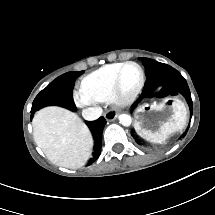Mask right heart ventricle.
<instances>
[{"instance_id":"right-heart-ventricle-1","label":"right heart ventricle","mask_w":215,"mask_h":215,"mask_svg":"<svg viewBox=\"0 0 215 215\" xmlns=\"http://www.w3.org/2000/svg\"><path fill=\"white\" fill-rule=\"evenodd\" d=\"M121 63L104 65L90 73L83 81L82 88L89 98L96 103H103L114 86L115 71Z\"/></svg>"}]
</instances>
